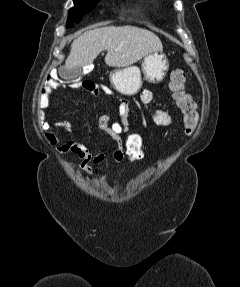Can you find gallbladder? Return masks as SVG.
<instances>
[{
    "mask_svg": "<svg viewBox=\"0 0 240 287\" xmlns=\"http://www.w3.org/2000/svg\"><path fill=\"white\" fill-rule=\"evenodd\" d=\"M61 77L67 81H77L82 76V67H74L72 69H62Z\"/></svg>",
    "mask_w": 240,
    "mask_h": 287,
    "instance_id": "1",
    "label": "gallbladder"
}]
</instances>
